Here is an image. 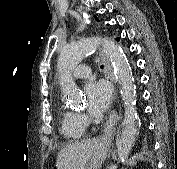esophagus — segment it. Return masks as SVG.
I'll list each match as a JSON object with an SVG mask.
<instances>
[{"label": "esophagus", "instance_id": "esophagus-1", "mask_svg": "<svg viewBox=\"0 0 177 169\" xmlns=\"http://www.w3.org/2000/svg\"><path fill=\"white\" fill-rule=\"evenodd\" d=\"M99 55L102 58L104 65H105L106 77L109 78L111 82L113 83L110 86V91H112V100H113L112 107H111V113L109 115L108 120L105 123L103 132L100 136L101 140H106L112 135L114 125L119 119V116L117 115L118 107H117L116 100H119L120 92H116L117 86H116V80L114 76L112 75V71H111L112 67L101 49L99 50Z\"/></svg>", "mask_w": 177, "mask_h": 169}]
</instances>
